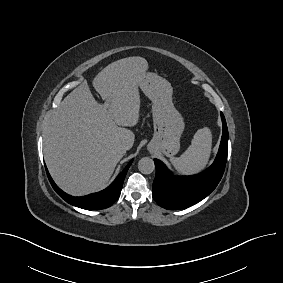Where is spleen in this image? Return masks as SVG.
Wrapping results in <instances>:
<instances>
[{
	"mask_svg": "<svg viewBox=\"0 0 283 283\" xmlns=\"http://www.w3.org/2000/svg\"><path fill=\"white\" fill-rule=\"evenodd\" d=\"M211 148L212 133L208 127H204L194 134L188 149L180 157H171L170 161L179 174H196L206 167Z\"/></svg>",
	"mask_w": 283,
	"mask_h": 283,
	"instance_id": "spleen-1",
	"label": "spleen"
}]
</instances>
